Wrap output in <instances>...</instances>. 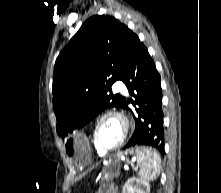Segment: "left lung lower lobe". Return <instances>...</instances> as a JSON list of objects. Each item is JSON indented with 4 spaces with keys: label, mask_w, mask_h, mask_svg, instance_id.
I'll return each mask as SVG.
<instances>
[{
    "label": "left lung lower lobe",
    "mask_w": 221,
    "mask_h": 193,
    "mask_svg": "<svg viewBox=\"0 0 221 193\" xmlns=\"http://www.w3.org/2000/svg\"><path fill=\"white\" fill-rule=\"evenodd\" d=\"M135 98L137 116L135 131L124 149L138 145L155 147L164 155V128L162 111L161 77L147 48L140 43L136 48L122 78ZM131 100H126L128 109Z\"/></svg>",
    "instance_id": "0a47b994"
}]
</instances>
